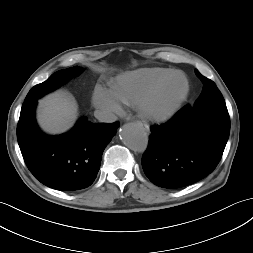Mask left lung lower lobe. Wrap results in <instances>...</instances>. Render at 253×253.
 Instances as JSON below:
<instances>
[{"label": "left lung lower lobe", "mask_w": 253, "mask_h": 253, "mask_svg": "<svg viewBox=\"0 0 253 253\" xmlns=\"http://www.w3.org/2000/svg\"><path fill=\"white\" fill-rule=\"evenodd\" d=\"M142 167L149 180L164 188H181L212 173L230 132L226 105L192 109L187 105L169 122L151 127Z\"/></svg>", "instance_id": "1"}]
</instances>
